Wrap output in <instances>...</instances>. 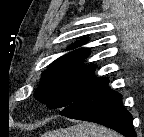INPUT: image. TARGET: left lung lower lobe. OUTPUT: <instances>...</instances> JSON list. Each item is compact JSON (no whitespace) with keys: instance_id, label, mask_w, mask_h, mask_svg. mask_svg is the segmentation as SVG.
Here are the masks:
<instances>
[{"instance_id":"0a47b994","label":"left lung lower lobe","mask_w":144,"mask_h":137,"mask_svg":"<svg viewBox=\"0 0 144 137\" xmlns=\"http://www.w3.org/2000/svg\"><path fill=\"white\" fill-rule=\"evenodd\" d=\"M59 114L104 125L126 137H136L132 115L123 107L121 95L108 87V79L85 91Z\"/></svg>"}]
</instances>
